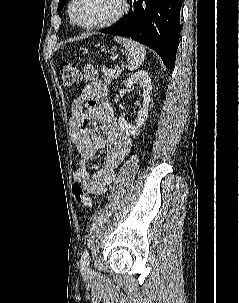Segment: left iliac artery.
Instances as JSON below:
<instances>
[{
    "mask_svg": "<svg viewBox=\"0 0 239 303\" xmlns=\"http://www.w3.org/2000/svg\"><path fill=\"white\" fill-rule=\"evenodd\" d=\"M89 265V253L85 250L81 256V266L83 268L88 267Z\"/></svg>",
    "mask_w": 239,
    "mask_h": 303,
    "instance_id": "left-iliac-artery-1",
    "label": "left iliac artery"
}]
</instances>
